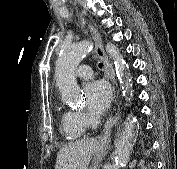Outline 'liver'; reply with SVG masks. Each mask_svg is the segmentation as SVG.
<instances>
[{
    "label": "liver",
    "mask_w": 177,
    "mask_h": 169,
    "mask_svg": "<svg viewBox=\"0 0 177 169\" xmlns=\"http://www.w3.org/2000/svg\"><path fill=\"white\" fill-rule=\"evenodd\" d=\"M100 142L95 139H84L70 143L57 153L55 169H88L92 156Z\"/></svg>",
    "instance_id": "liver-1"
}]
</instances>
